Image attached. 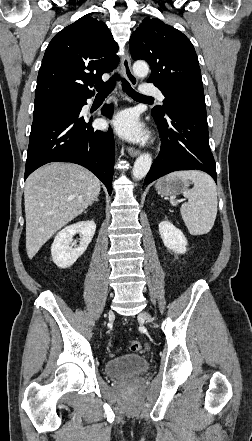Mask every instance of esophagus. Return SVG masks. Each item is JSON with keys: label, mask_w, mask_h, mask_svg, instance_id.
Returning <instances> with one entry per match:
<instances>
[{"label": "esophagus", "mask_w": 252, "mask_h": 441, "mask_svg": "<svg viewBox=\"0 0 252 441\" xmlns=\"http://www.w3.org/2000/svg\"><path fill=\"white\" fill-rule=\"evenodd\" d=\"M122 67H123V73L124 76L126 78V80L132 85V86H136L137 85V78L136 76L133 74L132 69H131V60H130V56L129 54H125L122 57ZM128 153L131 157H136L137 155L140 154V150L134 148V147H129L128 148Z\"/></svg>", "instance_id": "1"}]
</instances>
